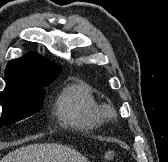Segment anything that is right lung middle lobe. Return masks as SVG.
<instances>
[{
	"label": "right lung middle lobe",
	"instance_id": "dd1d6c3e",
	"mask_svg": "<svg viewBox=\"0 0 168 162\" xmlns=\"http://www.w3.org/2000/svg\"><path fill=\"white\" fill-rule=\"evenodd\" d=\"M45 83H25L14 90L2 92L3 114L0 125H9L38 112L43 105Z\"/></svg>",
	"mask_w": 168,
	"mask_h": 162
}]
</instances>
